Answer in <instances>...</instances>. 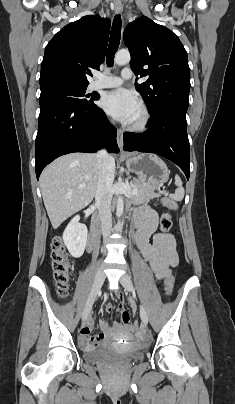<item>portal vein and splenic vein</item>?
I'll use <instances>...</instances> for the list:
<instances>
[{
    "label": "portal vein and splenic vein",
    "mask_w": 235,
    "mask_h": 404,
    "mask_svg": "<svg viewBox=\"0 0 235 404\" xmlns=\"http://www.w3.org/2000/svg\"><path fill=\"white\" fill-rule=\"evenodd\" d=\"M136 193H137V189L134 188V189L132 190L131 194H132V195H135Z\"/></svg>",
    "instance_id": "18ae733b"
}]
</instances>
